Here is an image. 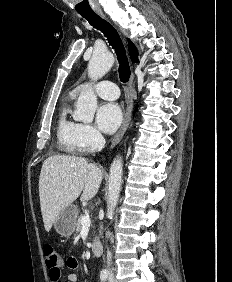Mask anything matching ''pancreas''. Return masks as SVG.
<instances>
[{"label": "pancreas", "instance_id": "cf45deb5", "mask_svg": "<svg viewBox=\"0 0 232 282\" xmlns=\"http://www.w3.org/2000/svg\"><path fill=\"white\" fill-rule=\"evenodd\" d=\"M83 217V215H80L75 223V228H76V233H79L82 229V224H81V218Z\"/></svg>", "mask_w": 232, "mask_h": 282}]
</instances>
